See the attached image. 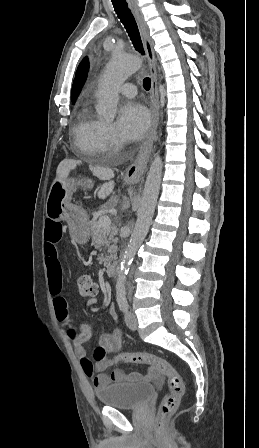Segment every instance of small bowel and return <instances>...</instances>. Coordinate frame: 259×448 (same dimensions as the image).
Segmentation results:
<instances>
[{
    "label": "small bowel",
    "mask_w": 259,
    "mask_h": 448,
    "mask_svg": "<svg viewBox=\"0 0 259 448\" xmlns=\"http://www.w3.org/2000/svg\"><path fill=\"white\" fill-rule=\"evenodd\" d=\"M62 225L58 221L48 220L44 227V259L49 280L50 292L53 296V307L56 318L61 324L63 331L72 341L76 355L80 359V363L85 374L93 381L97 389L103 388L110 383H127L149 381L158 377L159 372L155 366H150L146 374L138 372L125 373L121 370H114L110 374L103 373L105 369L110 367L113 362L111 360L100 361L93 364L87 357L84 344L91 338L92 329L89 324L81 325L79 331L73 326L68 310V302L63 294L62 288V269L58 255V243L62 236ZM97 302V298L93 296L87 301V307H92ZM110 315L114 320L117 314L114 309H110ZM121 332L114 331L111 334L103 335L100 339V346L107 352H118L121 349Z\"/></svg>",
    "instance_id": "small-bowel-1"
}]
</instances>
